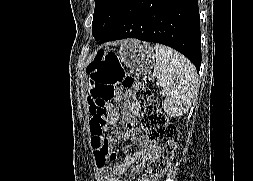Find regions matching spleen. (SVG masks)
I'll list each match as a JSON object with an SVG mask.
<instances>
[{
	"label": "spleen",
	"mask_w": 253,
	"mask_h": 181,
	"mask_svg": "<svg viewBox=\"0 0 253 181\" xmlns=\"http://www.w3.org/2000/svg\"><path fill=\"white\" fill-rule=\"evenodd\" d=\"M154 75L165 97L164 111L172 117L186 112L197 90L195 66L177 51L161 44L154 46Z\"/></svg>",
	"instance_id": "3e777b00"
}]
</instances>
